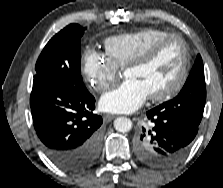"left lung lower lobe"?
<instances>
[{"mask_svg": "<svg viewBox=\"0 0 223 188\" xmlns=\"http://www.w3.org/2000/svg\"><path fill=\"white\" fill-rule=\"evenodd\" d=\"M147 117L154 126L147 131L142 128L136 136L138 158L147 165L164 168L179 162L189 151L198 132V125L169 117L153 108Z\"/></svg>", "mask_w": 223, "mask_h": 188, "instance_id": "left-lung-lower-lobe-1", "label": "left lung lower lobe"}]
</instances>
